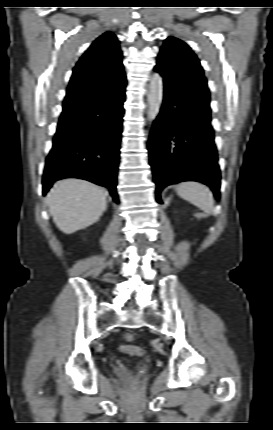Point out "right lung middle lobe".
<instances>
[{"instance_id":"dd1d6c3e","label":"right lung middle lobe","mask_w":273,"mask_h":430,"mask_svg":"<svg viewBox=\"0 0 273 430\" xmlns=\"http://www.w3.org/2000/svg\"><path fill=\"white\" fill-rule=\"evenodd\" d=\"M67 118H69V117L61 116L60 121L65 120V119H67Z\"/></svg>"}]
</instances>
